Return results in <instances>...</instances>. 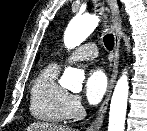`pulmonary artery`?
<instances>
[{"label": "pulmonary artery", "mask_w": 147, "mask_h": 131, "mask_svg": "<svg viewBox=\"0 0 147 131\" xmlns=\"http://www.w3.org/2000/svg\"><path fill=\"white\" fill-rule=\"evenodd\" d=\"M98 56V48L95 43H86L76 50L69 57V61L94 59Z\"/></svg>", "instance_id": "obj_1"}]
</instances>
